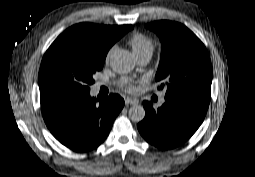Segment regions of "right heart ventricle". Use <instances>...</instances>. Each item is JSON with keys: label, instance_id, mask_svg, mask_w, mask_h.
Instances as JSON below:
<instances>
[{"label": "right heart ventricle", "instance_id": "right-heart-ventricle-1", "mask_svg": "<svg viewBox=\"0 0 255 177\" xmlns=\"http://www.w3.org/2000/svg\"><path fill=\"white\" fill-rule=\"evenodd\" d=\"M133 54L136 58L144 55L151 54L154 50V42L142 33L133 34L128 41Z\"/></svg>", "mask_w": 255, "mask_h": 177}]
</instances>
